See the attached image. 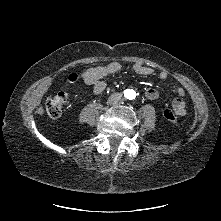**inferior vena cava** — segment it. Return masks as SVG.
Masks as SVG:
<instances>
[{"mask_svg": "<svg viewBox=\"0 0 221 221\" xmlns=\"http://www.w3.org/2000/svg\"><path fill=\"white\" fill-rule=\"evenodd\" d=\"M122 98V94L119 92H115L110 96V100L113 102H117Z\"/></svg>", "mask_w": 221, "mask_h": 221, "instance_id": "inferior-vena-cava-1", "label": "inferior vena cava"}]
</instances>
